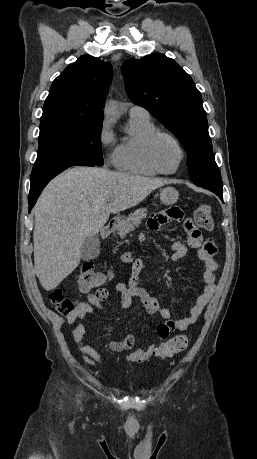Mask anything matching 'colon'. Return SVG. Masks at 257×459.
<instances>
[{
	"instance_id": "obj_1",
	"label": "colon",
	"mask_w": 257,
	"mask_h": 459,
	"mask_svg": "<svg viewBox=\"0 0 257 459\" xmlns=\"http://www.w3.org/2000/svg\"><path fill=\"white\" fill-rule=\"evenodd\" d=\"M193 220L195 221V226L204 230H212L213 218L211 207L209 205L199 206L194 212ZM76 280L82 291L88 292L92 289H96L95 292L100 299H105L107 297L106 291L101 287L107 280V274L96 271L91 262H86L82 265ZM50 300L55 305L58 312L63 315H68L76 309V303L64 297L60 289H55L51 292ZM188 341L186 334L173 336L156 347L154 353L161 359L170 357L184 351L188 345Z\"/></svg>"
}]
</instances>
